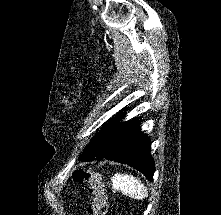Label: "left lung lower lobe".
Returning <instances> with one entry per match:
<instances>
[{
	"label": "left lung lower lobe",
	"instance_id": "0a47b994",
	"mask_svg": "<svg viewBox=\"0 0 221 215\" xmlns=\"http://www.w3.org/2000/svg\"><path fill=\"white\" fill-rule=\"evenodd\" d=\"M128 164L142 172L150 181L154 160L150 155V140L141 133L138 120L118 123L108 141L104 154L97 158Z\"/></svg>",
	"mask_w": 221,
	"mask_h": 215
}]
</instances>
